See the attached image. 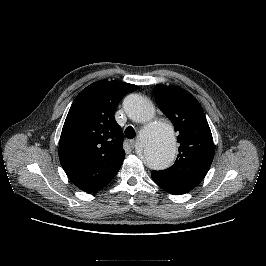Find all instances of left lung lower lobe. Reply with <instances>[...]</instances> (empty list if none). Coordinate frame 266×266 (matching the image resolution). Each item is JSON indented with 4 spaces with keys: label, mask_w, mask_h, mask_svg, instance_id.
<instances>
[{
    "label": "left lung lower lobe",
    "mask_w": 266,
    "mask_h": 266,
    "mask_svg": "<svg viewBox=\"0 0 266 266\" xmlns=\"http://www.w3.org/2000/svg\"><path fill=\"white\" fill-rule=\"evenodd\" d=\"M152 179L154 182L160 186L162 189L167 191L168 193L174 194V195H181L185 194L190 191V189L182 187L180 185H177L161 176L156 174L154 171L151 173Z\"/></svg>",
    "instance_id": "left-lung-lower-lobe-1"
}]
</instances>
